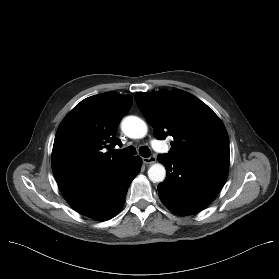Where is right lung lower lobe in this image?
Returning <instances> with one entry per match:
<instances>
[{
	"label": "right lung lower lobe",
	"mask_w": 279,
	"mask_h": 279,
	"mask_svg": "<svg viewBox=\"0 0 279 279\" xmlns=\"http://www.w3.org/2000/svg\"><path fill=\"white\" fill-rule=\"evenodd\" d=\"M141 165L140 157H130L126 163L111 173L61 192L78 213L96 220L112 218L121 210L127 188L139 173Z\"/></svg>",
	"instance_id": "right-lung-lower-lobe-1"
}]
</instances>
